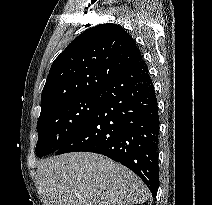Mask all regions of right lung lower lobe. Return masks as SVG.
<instances>
[{"label": "right lung lower lobe", "instance_id": "98d812e1", "mask_svg": "<svg viewBox=\"0 0 212 205\" xmlns=\"http://www.w3.org/2000/svg\"><path fill=\"white\" fill-rule=\"evenodd\" d=\"M158 134V103L141 60L103 87L97 108L55 154H103L135 172L156 197Z\"/></svg>", "mask_w": 212, "mask_h": 205}]
</instances>
